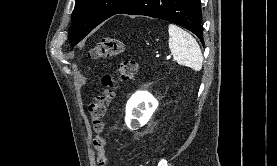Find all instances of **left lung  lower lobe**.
<instances>
[{
	"instance_id": "left-lung-lower-lobe-1",
	"label": "left lung lower lobe",
	"mask_w": 277,
	"mask_h": 166,
	"mask_svg": "<svg viewBox=\"0 0 277 166\" xmlns=\"http://www.w3.org/2000/svg\"><path fill=\"white\" fill-rule=\"evenodd\" d=\"M116 14L145 15L167 20L190 30L203 44L199 0H133Z\"/></svg>"
}]
</instances>
